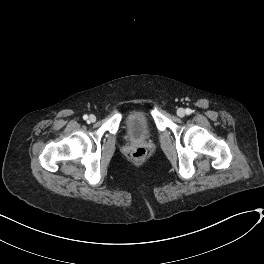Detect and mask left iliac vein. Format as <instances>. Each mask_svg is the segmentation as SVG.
<instances>
[{
	"label": "left iliac vein",
	"mask_w": 264,
	"mask_h": 264,
	"mask_svg": "<svg viewBox=\"0 0 264 264\" xmlns=\"http://www.w3.org/2000/svg\"><path fill=\"white\" fill-rule=\"evenodd\" d=\"M177 115H178L179 117H184V116H185V110H184L183 108H179V109L177 110Z\"/></svg>",
	"instance_id": "left-iliac-vein-1"
}]
</instances>
